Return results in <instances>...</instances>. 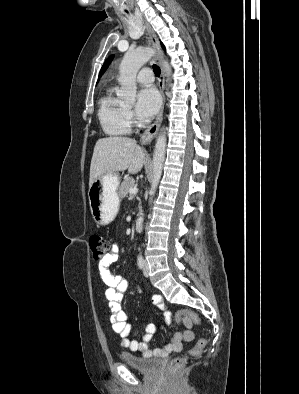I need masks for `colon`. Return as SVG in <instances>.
<instances>
[{
	"label": "colon",
	"instance_id": "5ec220e1",
	"mask_svg": "<svg viewBox=\"0 0 299 394\" xmlns=\"http://www.w3.org/2000/svg\"><path fill=\"white\" fill-rule=\"evenodd\" d=\"M89 246L92 251L93 257L96 260L104 259L107 256V254L109 253V250L111 247L110 241L100 234H92L89 237ZM177 316L179 318L182 316H186L196 322L198 321L196 314H194L193 312H190V311H179ZM206 346H207L206 339H204V338L199 339L196 342V344L189 349L187 354L174 358L170 362L168 369L171 372L177 371L186 363V361L188 359L196 358V357L200 356L201 352L203 351V349Z\"/></svg>",
	"mask_w": 299,
	"mask_h": 394
}]
</instances>
